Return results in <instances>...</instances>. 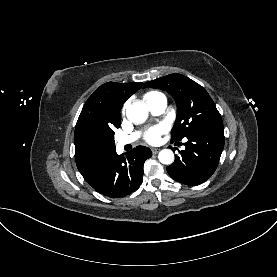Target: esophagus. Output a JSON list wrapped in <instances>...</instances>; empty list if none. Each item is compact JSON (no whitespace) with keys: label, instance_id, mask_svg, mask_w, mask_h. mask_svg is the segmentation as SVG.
Segmentation results:
<instances>
[{"label":"esophagus","instance_id":"esophagus-1","mask_svg":"<svg viewBox=\"0 0 277 277\" xmlns=\"http://www.w3.org/2000/svg\"><path fill=\"white\" fill-rule=\"evenodd\" d=\"M151 151L153 154H156L160 151V148H152Z\"/></svg>","mask_w":277,"mask_h":277}]
</instances>
